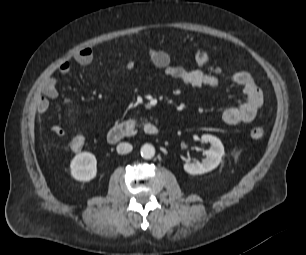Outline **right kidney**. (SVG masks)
I'll use <instances>...</instances> for the list:
<instances>
[{"label":"right kidney","instance_id":"obj_1","mask_svg":"<svg viewBox=\"0 0 306 255\" xmlns=\"http://www.w3.org/2000/svg\"><path fill=\"white\" fill-rule=\"evenodd\" d=\"M71 175L78 181H90L97 174L96 157L89 152L77 154L70 164Z\"/></svg>","mask_w":306,"mask_h":255}]
</instances>
